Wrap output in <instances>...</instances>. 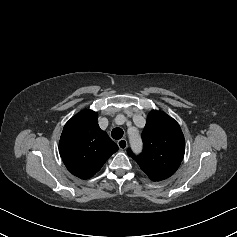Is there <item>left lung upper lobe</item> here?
<instances>
[{"mask_svg": "<svg viewBox=\"0 0 237 237\" xmlns=\"http://www.w3.org/2000/svg\"><path fill=\"white\" fill-rule=\"evenodd\" d=\"M144 150L135 157L128 155L153 181L164 180L175 173L185 153V140L179 124L166 113L152 110L142 133Z\"/></svg>", "mask_w": 237, "mask_h": 237, "instance_id": "5c2ea615", "label": "left lung upper lobe"}]
</instances>
